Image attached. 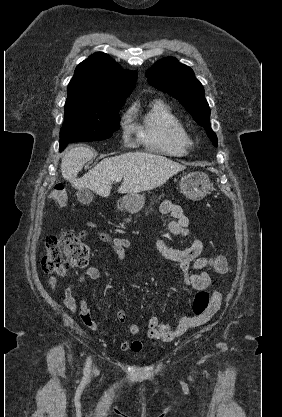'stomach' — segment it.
<instances>
[{"mask_svg":"<svg viewBox=\"0 0 282 417\" xmlns=\"http://www.w3.org/2000/svg\"><path fill=\"white\" fill-rule=\"evenodd\" d=\"M179 186L180 192H183L187 198L200 200V198H204L208 194L212 184L208 174H205V172H188V174L182 176ZM144 204V194L129 192V194L122 196L123 209H126L131 215L139 213L143 209Z\"/></svg>","mask_w":282,"mask_h":417,"instance_id":"1","label":"stomach"}]
</instances>
